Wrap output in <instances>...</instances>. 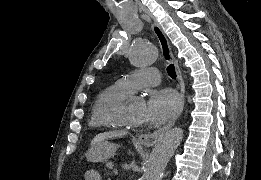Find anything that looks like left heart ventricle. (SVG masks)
Masks as SVG:
<instances>
[{"instance_id":"obj_1","label":"left heart ventricle","mask_w":261,"mask_h":180,"mask_svg":"<svg viewBox=\"0 0 261 180\" xmlns=\"http://www.w3.org/2000/svg\"><path fill=\"white\" fill-rule=\"evenodd\" d=\"M134 97H128L121 118L125 123L143 129L150 123L143 114L145 103L141 97L139 101H132Z\"/></svg>"}]
</instances>
